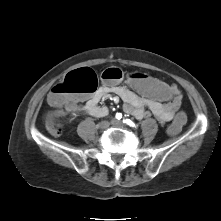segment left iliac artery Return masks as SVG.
I'll return each instance as SVG.
<instances>
[{"instance_id": "left-iliac-artery-1", "label": "left iliac artery", "mask_w": 221, "mask_h": 221, "mask_svg": "<svg viewBox=\"0 0 221 221\" xmlns=\"http://www.w3.org/2000/svg\"><path fill=\"white\" fill-rule=\"evenodd\" d=\"M123 122L129 125L130 127H136L135 123L131 121L130 119H124Z\"/></svg>"}]
</instances>
